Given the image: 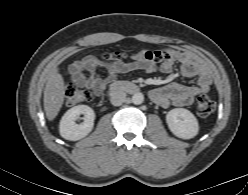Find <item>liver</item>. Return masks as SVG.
<instances>
[{"label": "liver", "mask_w": 248, "mask_h": 195, "mask_svg": "<svg viewBox=\"0 0 248 195\" xmlns=\"http://www.w3.org/2000/svg\"><path fill=\"white\" fill-rule=\"evenodd\" d=\"M65 82L57 67L50 73L44 89V110L49 121L59 113L65 99Z\"/></svg>", "instance_id": "obj_1"}]
</instances>
